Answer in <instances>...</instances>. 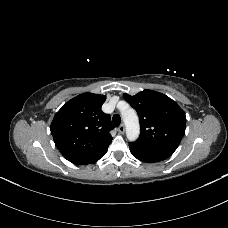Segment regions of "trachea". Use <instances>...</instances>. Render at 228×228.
<instances>
[{"mask_svg": "<svg viewBox=\"0 0 228 228\" xmlns=\"http://www.w3.org/2000/svg\"><path fill=\"white\" fill-rule=\"evenodd\" d=\"M112 122H113V125L115 127H118L121 123V118L118 114L114 115L113 118H112Z\"/></svg>", "mask_w": 228, "mask_h": 228, "instance_id": "3493384b", "label": "trachea"}]
</instances>
